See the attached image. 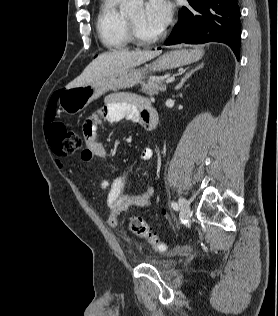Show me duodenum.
Here are the masks:
<instances>
[{
	"label": "duodenum",
	"mask_w": 278,
	"mask_h": 316,
	"mask_svg": "<svg viewBox=\"0 0 278 316\" xmlns=\"http://www.w3.org/2000/svg\"><path fill=\"white\" fill-rule=\"evenodd\" d=\"M159 123V114L157 110L150 106L148 107L142 117V124L147 130H153Z\"/></svg>",
	"instance_id": "1"
}]
</instances>
